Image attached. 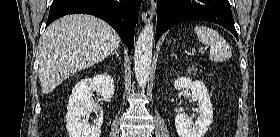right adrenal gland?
Here are the masks:
<instances>
[{"instance_id":"1","label":"right adrenal gland","mask_w":280,"mask_h":137,"mask_svg":"<svg viewBox=\"0 0 280 137\" xmlns=\"http://www.w3.org/2000/svg\"><path fill=\"white\" fill-rule=\"evenodd\" d=\"M111 54H116L119 57V53H118L117 49H115Z\"/></svg>"}]
</instances>
